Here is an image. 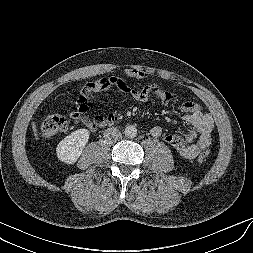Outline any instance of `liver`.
I'll return each mask as SVG.
<instances>
[{"label":"liver","instance_id":"1","mask_svg":"<svg viewBox=\"0 0 253 253\" xmlns=\"http://www.w3.org/2000/svg\"><path fill=\"white\" fill-rule=\"evenodd\" d=\"M32 130H33L35 139H36V140H39V137H38V130H37V127H36L35 122H32Z\"/></svg>","mask_w":253,"mask_h":253}]
</instances>
